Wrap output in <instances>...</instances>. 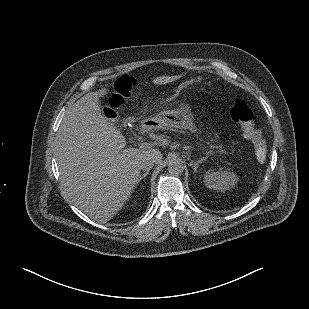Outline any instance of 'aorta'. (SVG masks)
<instances>
[{"instance_id":"aorta-1","label":"aorta","mask_w":309,"mask_h":309,"mask_svg":"<svg viewBox=\"0 0 309 309\" xmlns=\"http://www.w3.org/2000/svg\"><path fill=\"white\" fill-rule=\"evenodd\" d=\"M168 172L173 176H179L184 172V162L178 157L171 158L168 163Z\"/></svg>"}]
</instances>
